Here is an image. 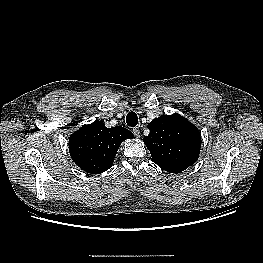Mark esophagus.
<instances>
[{
	"label": "esophagus",
	"mask_w": 263,
	"mask_h": 263,
	"mask_svg": "<svg viewBox=\"0 0 263 263\" xmlns=\"http://www.w3.org/2000/svg\"><path fill=\"white\" fill-rule=\"evenodd\" d=\"M133 134L135 135L136 138L140 137V131L138 127L133 128Z\"/></svg>",
	"instance_id": "1"
}]
</instances>
